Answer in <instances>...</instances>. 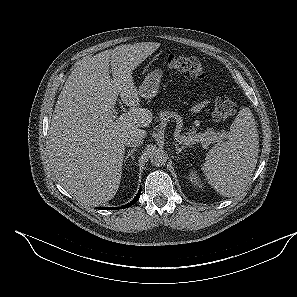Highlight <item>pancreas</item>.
I'll list each match as a JSON object with an SVG mask.
<instances>
[{
    "mask_svg": "<svg viewBox=\"0 0 297 297\" xmlns=\"http://www.w3.org/2000/svg\"><path fill=\"white\" fill-rule=\"evenodd\" d=\"M170 118H174L178 123H181V117L175 112L170 111H162L159 113L158 119L162 122L169 121ZM187 136L180 135V137H185L187 139L192 138V141H187V144L191 145L193 143H202L203 145H208L211 142V138L213 137L212 130H207L205 132H197L194 127L186 133Z\"/></svg>",
    "mask_w": 297,
    "mask_h": 297,
    "instance_id": "1",
    "label": "pancreas"
}]
</instances>
